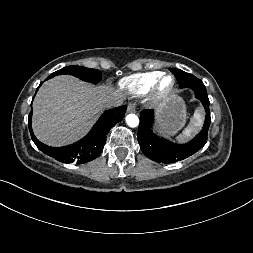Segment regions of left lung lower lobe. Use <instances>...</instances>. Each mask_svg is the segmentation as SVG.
<instances>
[{"mask_svg":"<svg viewBox=\"0 0 253 253\" xmlns=\"http://www.w3.org/2000/svg\"><path fill=\"white\" fill-rule=\"evenodd\" d=\"M180 88H191L195 96L199 99L206 111L205 123L202 131L189 143L179 145L172 143L165 138H159L152 131L154 112L143 110L140 114V125L138 128V142L142 152L156 162L175 163L181 161L201 149L207 141L208 128L211 122L209 111V99L203 82L192 77L190 80L179 84Z\"/></svg>","mask_w":253,"mask_h":253,"instance_id":"obj_1","label":"left lung lower lobe"}]
</instances>
